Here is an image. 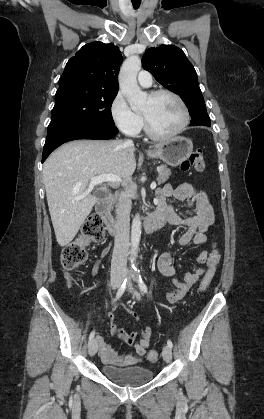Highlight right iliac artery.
Returning a JSON list of instances; mask_svg holds the SVG:
<instances>
[{
    "label": "right iliac artery",
    "instance_id": "right-iliac-artery-1",
    "mask_svg": "<svg viewBox=\"0 0 264 419\" xmlns=\"http://www.w3.org/2000/svg\"><path fill=\"white\" fill-rule=\"evenodd\" d=\"M127 279L124 280V282L121 284V286L119 287L117 294H116V298L114 299L113 302L117 301L125 292L126 286H127ZM95 335V331H92L89 335V340L91 341L94 338Z\"/></svg>",
    "mask_w": 264,
    "mask_h": 419
}]
</instances>
